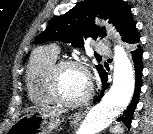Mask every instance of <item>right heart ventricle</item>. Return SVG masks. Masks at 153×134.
I'll list each match as a JSON object with an SVG mask.
<instances>
[{
  "label": "right heart ventricle",
  "instance_id": "right-heart-ventricle-1",
  "mask_svg": "<svg viewBox=\"0 0 153 134\" xmlns=\"http://www.w3.org/2000/svg\"><path fill=\"white\" fill-rule=\"evenodd\" d=\"M57 60V52L49 47L38 48L32 53L27 64L25 80L29 99L34 104L49 106L55 103L47 89L46 74Z\"/></svg>",
  "mask_w": 153,
  "mask_h": 134
}]
</instances>
